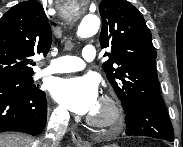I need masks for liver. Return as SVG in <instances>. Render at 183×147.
Listing matches in <instances>:
<instances>
[{
    "instance_id": "6515ba94",
    "label": "liver",
    "mask_w": 183,
    "mask_h": 147,
    "mask_svg": "<svg viewBox=\"0 0 183 147\" xmlns=\"http://www.w3.org/2000/svg\"><path fill=\"white\" fill-rule=\"evenodd\" d=\"M34 139L19 133L0 134V147H34Z\"/></svg>"
}]
</instances>
